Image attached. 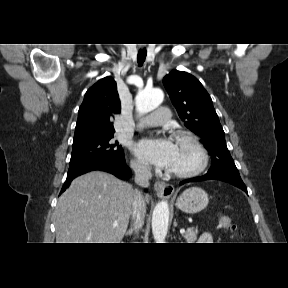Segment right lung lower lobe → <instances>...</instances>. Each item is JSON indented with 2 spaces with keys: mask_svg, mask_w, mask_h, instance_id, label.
Masks as SVG:
<instances>
[{
  "mask_svg": "<svg viewBox=\"0 0 288 288\" xmlns=\"http://www.w3.org/2000/svg\"><path fill=\"white\" fill-rule=\"evenodd\" d=\"M92 170L107 171L121 179L130 177V169L126 165L124 158L117 160L105 156L90 157L78 162L70 163L67 178L64 182L61 193L69 187L71 181L75 177Z\"/></svg>",
  "mask_w": 288,
  "mask_h": 288,
  "instance_id": "right-lung-lower-lobe-1",
  "label": "right lung lower lobe"
}]
</instances>
